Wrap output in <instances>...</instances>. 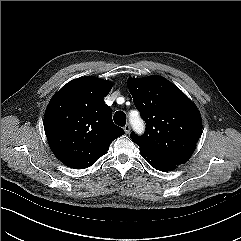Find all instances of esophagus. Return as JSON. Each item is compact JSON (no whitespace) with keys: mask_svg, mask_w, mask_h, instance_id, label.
Listing matches in <instances>:
<instances>
[{"mask_svg":"<svg viewBox=\"0 0 241 241\" xmlns=\"http://www.w3.org/2000/svg\"><path fill=\"white\" fill-rule=\"evenodd\" d=\"M130 125L129 124H126L125 126H124V131H125V133L126 134H128L129 132H130Z\"/></svg>","mask_w":241,"mask_h":241,"instance_id":"1","label":"esophagus"}]
</instances>
